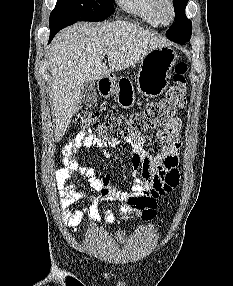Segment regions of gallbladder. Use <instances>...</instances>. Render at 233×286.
I'll return each mask as SVG.
<instances>
[{"label":"gallbladder","mask_w":233,"mask_h":286,"mask_svg":"<svg viewBox=\"0 0 233 286\" xmlns=\"http://www.w3.org/2000/svg\"><path fill=\"white\" fill-rule=\"evenodd\" d=\"M82 103L87 107L97 104V91L94 81L85 82L81 89Z\"/></svg>","instance_id":"gallbladder-1"}]
</instances>
